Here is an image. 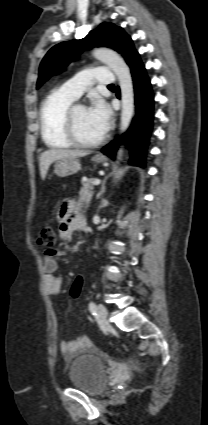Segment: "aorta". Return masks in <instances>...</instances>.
Segmentation results:
<instances>
[{"label": "aorta", "mask_w": 208, "mask_h": 425, "mask_svg": "<svg viewBox=\"0 0 208 425\" xmlns=\"http://www.w3.org/2000/svg\"><path fill=\"white\" fill-rule=\"evenodd\" d=\"M92 55L97 60L105 63L114 72L119 81L121 90V132H125L134 114V88L128 65L115 51L107 48H96ZM122 148L118 150L117 158L120 159Z\"/></svg>", "instance_id": "obj_1"}]
</instances>
